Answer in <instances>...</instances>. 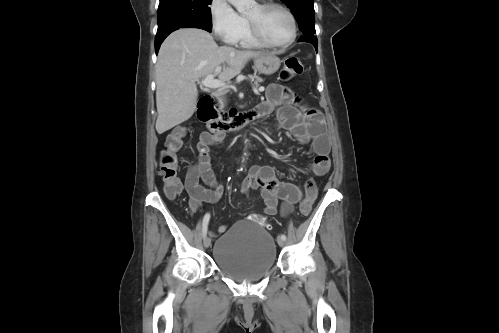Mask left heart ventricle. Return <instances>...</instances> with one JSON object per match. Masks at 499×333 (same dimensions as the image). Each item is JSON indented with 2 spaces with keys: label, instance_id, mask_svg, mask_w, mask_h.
<instances>
[{
  "label": "left heart ventricle",
  "instance_id": "obj_1",
  "mask_svg": "<svg viewBox=\"0 0 499 333\" xmlns=\"http://www.w3.org/2000/svg\"><path fill=\"white\" fill-rule=\"evenodd\" d=\"M245 16L257 22L263 35L272 43H283L291 35L290 19L281 9L271 8L263 11L255 5Z\"/></svg>",
  "mask_w": 499,
  "mask_h": 333
}]
</instances>
